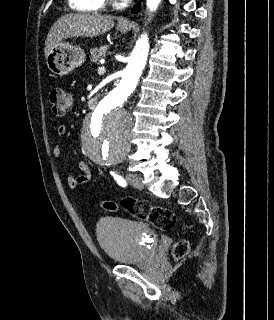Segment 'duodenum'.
<instances>
[{
	"label": "duodenum",
	"mask_w": 274,
	"mask_h": 320,
	"mask_svg": "<svg viewBox=\"0 0 274 320\" xmlns=\"http://www.w3.org/2000/svg\"><path fill=\"white\" fill-rule=\"evenodd\" d=\"M88 104L90 108H96L99 104V99L97 97H91Z\"/></svg>",
	"instance_id": "1"
}]
</instances>
